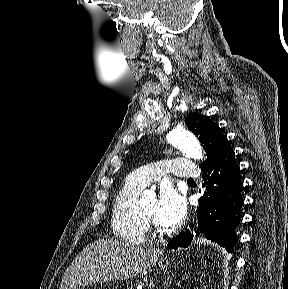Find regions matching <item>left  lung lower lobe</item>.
Here are the masks:
<instances>
[{"label":"left lung lower lobe","mask_w":288,"mask_h":289,"mask_svg":"<svg viewBox=\"0 0 288 289\" xmlns=\"http://www.w3.org/2000/svg\"><path fill=\"white\" fill-rule=\"evenodd\" d=\"M204 194L199 199L197 216L199 229L206 238L234 252L236 227L241 220L243 182L235 152L228 139L222 141L210 162L201 167ZM198 235V234H197ZM193 236L187 230L168 243V248L187 247Z\"/></svg>","instance_id":"0a47b994"}]
</instances>
